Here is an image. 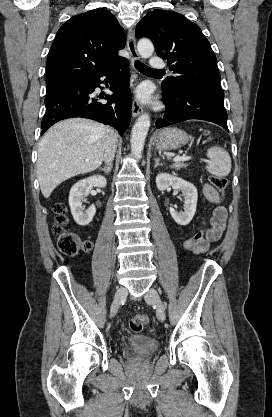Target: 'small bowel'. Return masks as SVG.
<instances>
[{
    "label": "small bowel",
    "instance_id": "obj_1",
    "mask_svg": "<svg viewBox=\"0 0 272 417\" xmlns=\"http://www.w3.org/2000/svg\"><path fill=\"white\" fill-rule=\"evenodd\" d=\"M203 194L211 203L218 202V194L216 190L209 184L203 186ZM227 211L224 207L218 206L214 209L210 218V228L206 231V238L193 251L195 253H203L208 249L210 243L220 239L226 226ZM205 222L203 221L202 224Z\"/></svg>",
    "mask_w": 272,
    "mask_h": 417
}]
</instances>
